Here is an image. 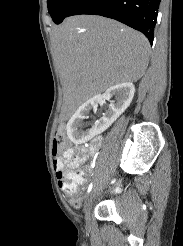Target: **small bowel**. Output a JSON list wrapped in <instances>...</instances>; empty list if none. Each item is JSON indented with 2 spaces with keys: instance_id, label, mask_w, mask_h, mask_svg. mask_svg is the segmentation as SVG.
<instances>
[{
  "instance_id": "small-bowel-1",
  "label": "small bowel",
  "mask_w": 183,
  "mask_h": 246,
  "mask_svg": "<svg viewBox=\"0 0 183 246\" xmlns=\"http://www.w3.org/2000/svg\"><path fill=\"white\" fill-rule=\"evenodd\" d=\"M101 143V138L97 137L93 140L90 147H83L76 153L73 147L68 148L61 158H57L54 161V169L57 175L58 184L60 188L67 194H73V191L69 188L68 176L72 173L73 169H76L80 164L88 157L89 154H93L97 147ZM84 178L81 177L80 184H83ZM108 184H103V189H112V185H115V180H108ZM118 191L117 189L115 190Z\"/></svg>"
}]
</instances>
